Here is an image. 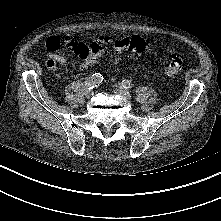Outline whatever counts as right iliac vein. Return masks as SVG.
I'll return each mask as SVG.
<instances>
[{"mask_svg": "<svg viewBox=\"0 0 221 221\" xmlns=\"http://www.w3.org/2000/svg\"><path fill=\"white\" fill-rule=\"evenodd\" d=\"M93 95H94V91H93V90L87 89V90L85 91V96H86L87 98H91Z\"/></svg>", "mask_w": 221, "mask_h": 221, "instance_id": "1", "label": "right iliac vein"}]
</instances>
